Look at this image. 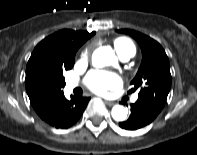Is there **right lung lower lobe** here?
Returning <instances> with one entry per match:
<instances>
[{"mask_svg":"<svg viewBox=\"0 0 197 155\" xmlns=\"http://www.w3.org/2000/svg\"><path fill=\"white\" fill-rule=\"evenodd\" d=\"M89 100L75 96L67 100L63 96L42 119L55 128H69L79 120Z\"/></svg>","mask_w":197,"mask_h":155,"instance_id":"1","label":"right lung lower lobe"}]
</instances>
